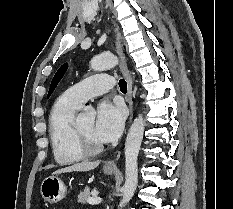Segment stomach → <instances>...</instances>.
I'll return each mask as SVG.
<instances>
[{
	"instance_id": "stomach-1",
	"label": "stomach",
	"mask_w": 233,
	"mask_h": 209,
	"mask_svg": "<svg viewBox=\"0 0 233 209\" xmlns=\"http://www.w3.org/2000/svg\"><path fill=\"white\" fill-rule=\"evenodd\" d=\"M114 172L115 169H104V173L108 175ZM40 193L45 201L54 204L66 196V186L58 176H49L42 181Z\"/></svg>"
}]
</instances>
